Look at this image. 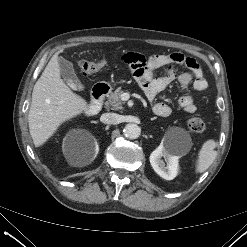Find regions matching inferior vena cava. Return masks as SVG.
Returning a JSON list of instances; mask_svg holds the SVG:
<instances>
[{"label": "inferior vena cava", "instance_id": "1", "mask_svg": "<svg viewBox=\"0 0 247 247\" xmlns=\"http://www.w3.org/2000/svg\"><path fill=\"white\" fill-rule=\"evenodd\" d=\"M101 122L109 125H115L120 122V117L116 113H104L100 118Z\"/></svg>", "mask_w": 247, "mask_h": 247}]
</instances>
